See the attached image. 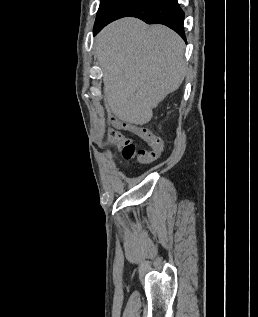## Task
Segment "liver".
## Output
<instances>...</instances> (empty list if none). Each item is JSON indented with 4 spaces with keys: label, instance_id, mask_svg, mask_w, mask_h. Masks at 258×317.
<instances>
[{
    "label": "liver",
    "instance_id": "obj_1",
    "mask_svg": "<svg viewBox=\"0 0 258 317\" xmlns=\"http://www.w3.org/2000/svg\"><path fill=\"white\" fill-rule=\"evenodd\" d=\"M95 46L107 102L123 122H149L152 108L184 80V40L163 24L126 16L107 24Z\"/></svg>",
    "mask_w": 258,
    "mask_h": 317
}]
</instances>
